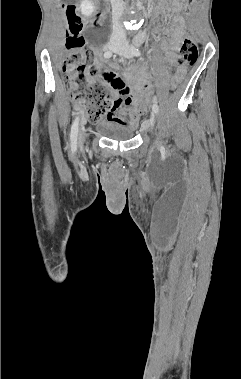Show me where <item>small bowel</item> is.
Masks as SVG:
<instances>
[{
	"label": "small bowel",
	"mask_w": 241,
	"mask_h": 379,
	"mask_svg": "<svg viewBox=\"0 0 241 379\" xmlns=\"http://www.w3.org/2000/svg\"><path fill=\"white\" fill-rule=\"evenodd\" d=\"M181 1L182 0H165L164 3V7L172 14V26L167 31V38L161 43V47L165 51L167 62L170 64L176 63V51L179 49L182 36L185 32V22L180 15ZM183 72L184 70L180 68L177 76L180 77ZM108 75H112L121 80L128 90V94L122 95L114 88ZM102 78L103 81L115 91V106L111 112L108 113L107 117L129 126H135L139 116L145 114V106H147V103L141 100L140 93L151 87L147 67L132 68L125 74V81L129 88L121 78L113 73L102 72ZM89 79L90 81H94L92 76L89 77Z\"/></svg>",
	"instance_id": "obj_1"
}]
</instances>
